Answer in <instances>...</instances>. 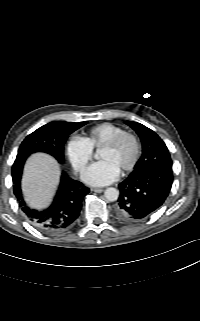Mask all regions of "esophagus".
<instances>
[{"label":"esophagus","mask_w":200,"mask_h":321,"mask_svg":"<svg viewBox=\"0 0 200 321\" xmlns=\"http://www.w3.org/2000/svg\"><path fill=\"white\" fill-rule=\"evenodd\" d=\"M92 191L96 192V193H101L104 191V189L102 188H93Z\"/></svg>","instance_id":"34e87169"}]
</instances>
